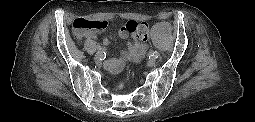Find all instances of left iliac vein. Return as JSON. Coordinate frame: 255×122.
<instances>
[{"instance_id": "1", "label": "left iliac vein", "mask_w": 255, "mask_h": 122, "mask_svg": "<svg viewBox=\"0 0 255 122\" xmlns=\"http://www.w3.org/2000/svg\"><path fill=\"white\" fill-rule=\"evenodd\" d=\"M148 66L152 67L156 64V60L155 59H150L148 62H147Z\"/></svg>"}]
</instances>
